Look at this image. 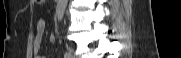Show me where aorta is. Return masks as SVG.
I'll return each mask as SVG.
<instances>
[{
    "label": "aorta",
    "instance_id": "762f6f07",
    "mask_svg": "<svg viewBox=\"0 0 181 58\" xmlns=\"http://www.w3.org/2000/svg\"><path fill=\"white\" fill-rule=\"evenodd\" d=\"M67 2L68 0H57L56 11H55L56 21L60 22L63 20Z\"/></svg>",
    "mask_w": 181,
    "mask_h": 58
}]
</instances>
